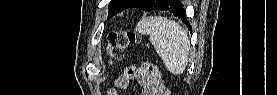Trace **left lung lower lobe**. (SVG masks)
Returning <instances> with one entry per match:
<instances>
[{
	"instance_id": "left-lung-lower-lobe-1",
	"label": "left lung lower lobe",
	"mask_w": 277,
	"mask_h": 95,
	"mask_svg": "<svg viewBox=\"0 0 277 95\" xmlns=\"http://www.w3.org/2000/svg\"><path fill=\"white\" fill-rule=\"evenodd\" d=\"M150 5H151V0H134L128 7H136V8L143 9L144 11H149L153 9L167 10L173 13L175 16L179 17L181 20L185 21L186 24H188V21L185 19V12L181 2L178 5H176V0H164V2L160 6L153 9L149 8ZM188 28L191 30V27L189 24H188Z\"/></svg>"
}]
</instances>
